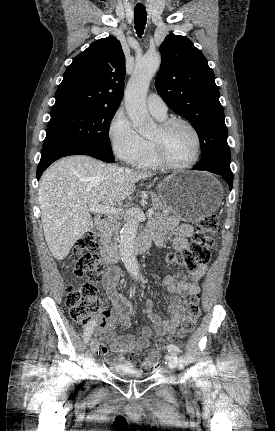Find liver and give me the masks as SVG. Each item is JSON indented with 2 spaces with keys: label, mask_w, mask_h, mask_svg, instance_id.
<instances>
[{
  "label": "liver",
  "mask_w": 275,
  "mask_h": 431,
  "mask_svg": "<svg viewBox=\"0 0 275 431\" xmlns=\"http://www.w3.org/2000/svg\"><path fill=\"white\" fill-rule=\"evenodd\" d=\"M150 176L83 155L52 164L39 182V204L45 240L54 258L63 260L99 220L100 216L92 219L88 205L120 202L135 191L136 182Z\"/></svg>",
  "instance_id": "6515ba94"
}]
</instances>
